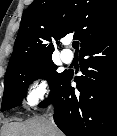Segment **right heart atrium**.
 I'll return each mask as SVG.
<instances>
[{"label": "right heart atrium", "mask_w": 117, "mask_h": 136, "mask_svg": "<svg viewBox=\"0 0 117 136\" xmlns=\"http://www.w3.org/2000/svg\"><path fill=\"white\" fill-rule=\"evenodd\" d=\"M49 93V82L46 76L38 75L28 86L25 101L36 106L41 103Z\"/></svg>", "instance_id": "right-heart-atrium-1"}]
</instances>
